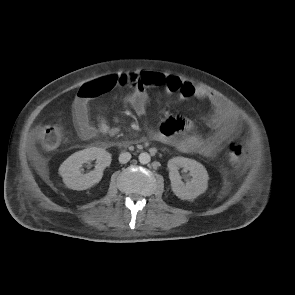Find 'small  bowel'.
Returning <instances> with one entry per match:
<instances>
[{"label":"small bowel","instance_id":"obj_1","mask_svg":"<svg viewBox=\"0 0 295 295\" xmlns=\"http://www.w3.org/2000/svg\"><path fill=\"white\" fill-rule=\"evenodd\" d=\"M137 77L139 85L131 87L125 101L140 117L146 115L148 104L147 89L162 86L168 94L181 100H205L211 105L213 112L207 118V126L212 131L208 137L192 134L193 123L181 116H170L165 119L159 129L151 130V137L163 144L174 146L185 153H195L206 158L215 157L224 144L235 137L241 128L239 116L228 103L216 94L183 81L178 76H166L159 72H145L133 74ZM114 76H106L81 86L73 102L72 116L75 129L83 139H91L98 133L113 135L115 132L109 127L107 120L100 116L96 126L89 118V101L100 97L110 91L107 80Z\"/></svg>","mask_w":295,"mask_h":295}]
</instances>
